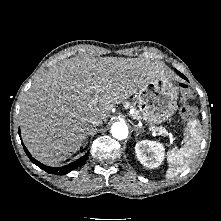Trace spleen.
<instances>
[{
  "mask_svg": "<svg viewBox=\"0 0 221 221\" xmlns=\"http://www.w3.org/2000/svg\"><path fill=\"white\" fill-rule=\"evenodd\" d=\"M189 133L185 138V145L180 149H171L167 152L168 170L166 177L171 178L185 171L199 150L201 135L199 121L193 120L189 123Z\"/></svg>",
  "mask_w": 221,
  "mask_h": 221,
  "instance_id": "3e777b00",
  "label": "spleen"
}]
</instances>
